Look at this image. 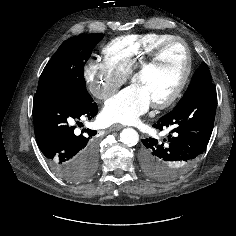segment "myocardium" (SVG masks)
I'll return each instance as SVG.
<instances>
[{"label": "myocardium", "instance_id": "1", "mask_svg": "<svg viewBox=\"0 0 236 236\" xmlns=\"http://www.w3.org/2000/svg\"><path fill=\"white\" fill-rule=\"evenodd\" d=\"M178 43L183 47L184 54H185V69L184 73L173 89V91L166 96L165 98L152 102V106L157 109H164L171 104H173L177 98L180 96L182 91L184 90L192 70V57L190 54L189 47L187 43L179 37H173L168 40H165L158 44L139 64H137L132 71L129 74V79L132 81L137 75L143 73L147 69H149L154 62L157 60V58L160 56V54L170 45Z\"/></svg>", "mask_w": 236, "mask_h": 236}]
</instances>
